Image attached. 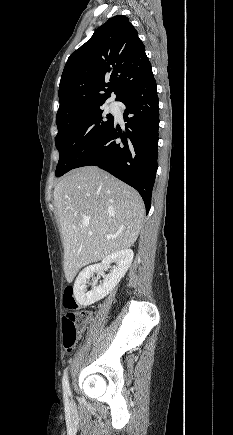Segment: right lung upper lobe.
Wrapping results in <instances>:
<instances>
[{"label": "right lung upper lobe", "instance_id": "cb5924a9", "mask_svg": "<svg viewBox=\"0 0 233 435\" xmlns=\"http://www.w3.org/2000/svg\"><path fill=\"white\" fill-rule=\"evenodd\" d=\"M152 73L138 32L124 15L110 18L68 58L60 86L56 121L116 101Z\"/></svg>", "mask_w": 233, "mask_h": 435}]
</instances>
